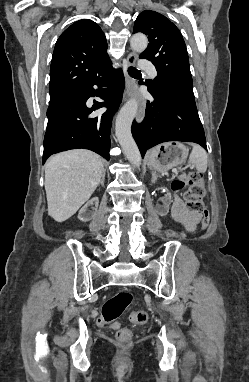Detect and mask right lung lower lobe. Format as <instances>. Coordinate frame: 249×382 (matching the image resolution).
<instances>
[{"label":"right lung lower lobe","instance_id":"right-lung-lower-lobe-1","mask_svg":"<svg viewBox=\"0 0 249 382\" xmlns=\"http://www.w3.org/2000/svg\"><path fill=\"white\" fill-rule=\"evenodd\" d=\"M113 77H117V82ZM123 89V73L121 70L117 73L108 59L77 90L50 105L43 163L52 154L76 148L92 150L109 160L111 121L121 103ZM92 96L100 97L104 102L94 100L91 105L88 99ZM102 107L107 111L95 114Z\"/></svg>","mask_w":249,"mask_h":382}]
</instances>
